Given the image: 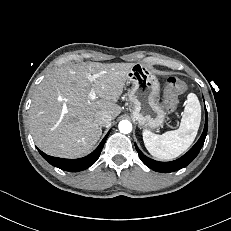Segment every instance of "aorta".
Here are the masks:
<instances>
[{
    "instance_id": "1",
    "label": "aorta",
    "mask_w": 231,
    "mask_h": 231,
    "mask_svg": "<svg viewBox=\"0 0 231 231\" xmlns=\"http://www.w3.org/2000/svg\"><path fill=\"white\" fill-rule=\"evenodd\" d=\"M118 128L121 133L128 134L132 131V124L128 120H122L119 122Z\"/></svg>"
}]
</instances>
